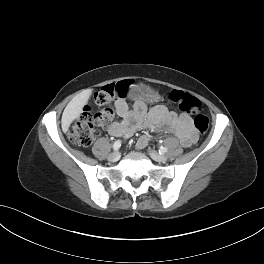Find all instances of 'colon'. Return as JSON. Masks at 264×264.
<instances>
[{
    "label": "colon",
    "mask_w": 264,
    "mask_h": 264,
    "mask_svg": "<svg viewBox=\"0 0 264 264\" xmlns=\"http://www.w3.org/2000/svg\"><path fill=\"white\" fill-rule=\"evenodd\" d=\"M129 85L128 81H121L108 85L99 91L95 96V102L99 110L95 114L88 108L83 110L68 129L70 141L78 146H89L98 135V129L108 124L113 117L111 100L126 97L129 93ZM169 99L180 110L193 115L194 126L200 134L207 131L209 120L202 113V104L199 99L180 90L170 92Z\"/></svg>",
    "instance_id": "1"
}]
</instances>
